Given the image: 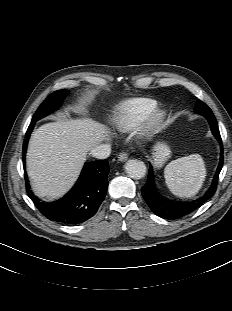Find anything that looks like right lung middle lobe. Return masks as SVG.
<instances>
[{"label":"right lung middle lobe","mask_w":232,"mask_h":311,"mask_svg":"<svg viewBox=\"0 0 232 311\" xmlns=\"http://www.w3.org/2000/svg\"><path fill=\"white\" fill-rule=\"evenodd\" d=\"M67 92V90L62 89L48 96L35 112L32 121L36 122L37 120L57 110L61 106Z\"/></svg>","instance_id":"dd1d6c3e"}]
</instances>
